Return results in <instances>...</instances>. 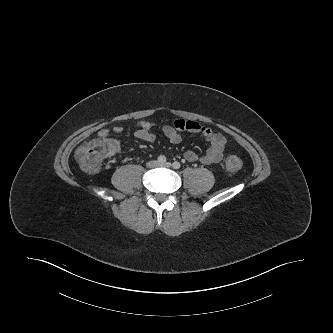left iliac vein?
<instances>
[{"label":"left iliac vein","mask_w":333,"mask_h":333,"mask_svg":"<svg viewBox=\"0 0 333 333\" xmlns=\"http://www.w3.org/2000/svg\"><path fill=\"white\" fill-rule=\"evenodd\" d=\"M160 166L169 168V167H171V163L167 162L165 164H161Z\"/></svg>","instance_id":"1"}]
</instances>
